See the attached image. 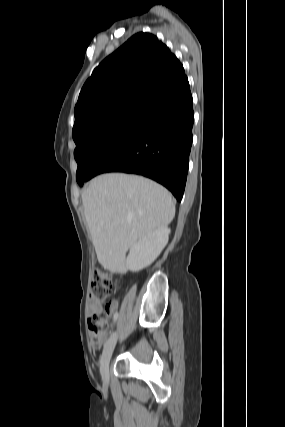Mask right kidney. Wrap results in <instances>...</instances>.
I'll return each mask as SVG.
<instances>
[{"label":"right kidney","mask_w":285,"mask_h":427,"mask_svg":"<svg viewBox=\"0 0 285 427\" xmlns=\"http://www.w3.org/2000/svg\"><path fill=\"white\" fill-rule=\"evenodd\" d=\"M169 234L170 229L164 226L139 239L130 249L126 267L132 272H138L151 265L168 243Z\"/></svg>","instance_id":"obj_1"}]
</instances>
